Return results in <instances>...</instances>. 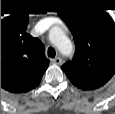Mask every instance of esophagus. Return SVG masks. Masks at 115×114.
Masks as SVG:
<instances>
[{"label": "esophagus", "mask_w": 115, "mask_h": 114, "mask_svg": "<svg viewBox=\"0 0 115 114\" xmlns=\"http://www.w3.org/2000/svg\"><path fill=\"white\" fill-rule=\"evenodd\" d=\"M51 61H52V63L57 64V65H61L62 64V59L60 57H55Z\"/></svg>", "instance_id": "34e87169"}]
</instances>
